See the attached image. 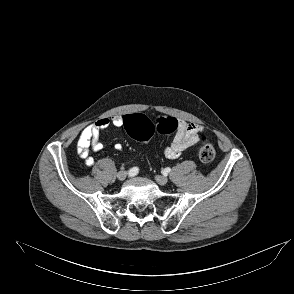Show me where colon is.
I'll return each mask as SVG.
<instances>
[{
  "instance_id": "obj_1",
  "label": "colon",
  "mask_w": 294,
  "mask_h": 294,
  "mask_svg": "<svg viewBox=\"0 0 294 294\" xmlns=\"http://www.w3.org/2000/svg\"><path fill=\"white\" fill-rule=\"evenodd\" d=\"M123 126L126 132L135 140L149 142L155 131L161 134H170L177 130L178 122L173 117H159L152 122L143 114L125 115ZM215 148L205 138H201V146L198 152L199 160L202 163H210L215 158Z\"/></svg>"
}]
</instances>
